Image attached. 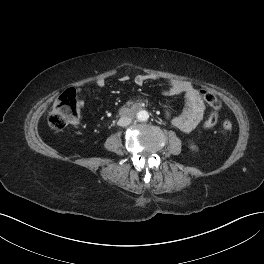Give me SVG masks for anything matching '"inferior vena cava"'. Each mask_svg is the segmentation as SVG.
Instances as JSON below:
<instances>
[{
	"label": "inferior vena cava",
	"mask_w": 264,
	"mask_h": 264,
	"mask_svg": "<svg viewBox=\"0 0 264 264\" xmlns=\"http://www.w3.org/2000/svg\"><path fill=\"white\" fill-rule=\"evenodd\" d=\"M131 121H132V119L129 118V117H121V118L118 120L117 124H118L119 126L125 127V126L129 125V124L131 123Z\"/></svg>",
	"instance_id": "obj_1"
}]
</instances>
